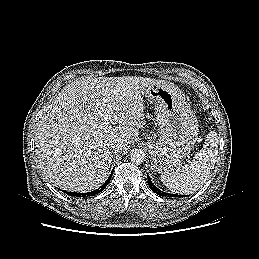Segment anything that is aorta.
Masks as SVG:
<instances>
[{
  "label": "aorta",
  "mask_w": 259,
  "mask_h": 259,
  "mask_svg": "<svg viewBox=\"0 0 259 259\" xmlns=\"http://www.w3.org/2000/svg\"><path fill=\"white\" fill-rule=\"evenodd\" d=\"M130 159L135 164H141L145 161L146 155L141 149H133L130 153Z\"/></svg>",
  "instance_id": "aorta-1"
}]
</instances>
